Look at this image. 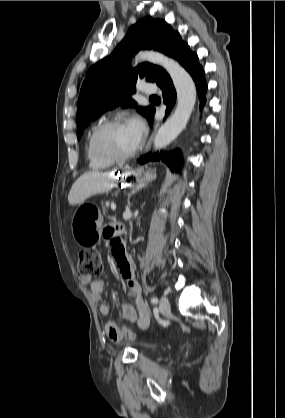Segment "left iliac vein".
<instances>
[{"label": "left iliac vein", "mask_w": 285, "mask_h": 418, "mask_svg": "<svg viewBox=\"0 0 285 418\" xmlns=\"http://www.w3.org/2000/svg\"><path fill=\"white\" fill-rule=\"evenodd\" d=\"M159 309L163 314H168L170 312V303L167 297L162 296L160 298Z\"/></svg>", "instance_id": "left-iliac-vein-1"}]
</instances>
